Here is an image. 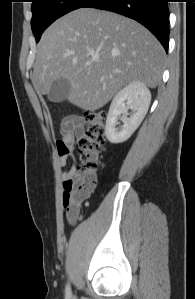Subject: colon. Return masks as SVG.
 I'll list each match as a JSON object with an SVG mask.
<instances>
[{
  "mask_svg": "<svg viewBox=\"0 0 195 299\" xmlns=\"http://www.w3.org/2000/svg\"><path fill=\"white\" fill-rule=\"evenodd\" d=\"M105 113L90 111L82 136L78 140L80 162L75 168V177L69 182L64 192V209L66 215L77 216L83 203L88 198L99 169L98 157L105 144Z\"/></svg>",
  "mask_w": 195,
  "mask_h": 299,
  "instance_id": "colon-1",
  "label": "colon"
}]
</instances>
